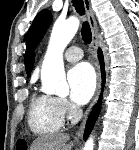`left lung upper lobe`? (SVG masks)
Masks as SVG:
<instances>
[{"mask_svg": "<svg viewBox=\"0 0 139 150\" xmlns=\"http://www.w3.org/2000/svg\"><path fill=\"white\" fill-rule=\"evenodd\" d=\"M52 20L51 12L47 9L42 10L35 17L30 29L26 36V53L24 57L25 68L28 76L30 75L31 69V54L34 51L37 44L43 38L47 28L49 27Z\"/></svg>", "mask_w": 139, "mask_h": 150, "instance_id": "1", "label": "left lung upper lobe"}]
</instances>
